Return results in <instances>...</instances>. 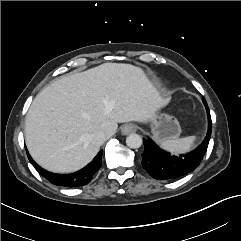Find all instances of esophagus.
I'll return each instance as SVG.
<instances>
[{
    "mask_svg": "<svg viewBox=\"0 0 241 241\" xmlns=\"http://www.w3.org/2000/svg\"><path fill=\"white\" fill-rule=\"evenodd\" d=\"M136 131V126L134 124H125L121 127V132L124 135L133 133Z\"/></svg>",
    "mask_w": 241,
    "mask_h": 241,
    "instance_id": "1",
    "label": "esophagus"
}]
</instances>
